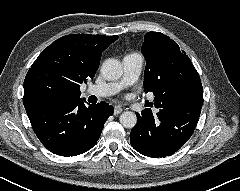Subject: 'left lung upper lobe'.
<instances>
[{"instance_id": "obj_1", "label": "left lung upper lobe", "mask_w": 240, "mask_h": 191, "mask_svg": "<svg viewBox=\"0 0 240 191\" xmlns=\"http://www.w3.org/2000/svg\"><path fill=\"white\" fill-rule=\"evenodd\" d=\"M141 52L146 59L145 93L153 92L156 108L170 107L193 90L203 102L199 74L175 41L160 32H147Z\"/></svg>"}]
</instances>
